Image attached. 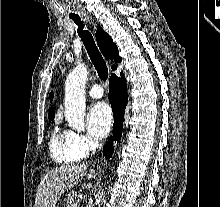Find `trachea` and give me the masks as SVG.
I'll list each match as a JSON object with an SVG mask.
<instances>
[{
	"label": "trachea",
	"mask_w": 220,
	"mask_h": 207,
	"mask_svg": "<svg viewBox=\"0 0 220 207\" xmlns=\"http://www.w3.org/2000/svg\"><path fill=\"white\" fill-rule=\"evenodd\" d=\"M72 20L78 25V34L83 41V44L92 63L94 64L95 69L97 70L99 78L106 80L108 78V68L105 60L96 46L93 36L88 30H83L84 24L80 17H72Z\"/></svg>",
	"instance_id": "3493384b"
}]
</instances>
